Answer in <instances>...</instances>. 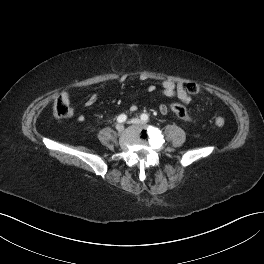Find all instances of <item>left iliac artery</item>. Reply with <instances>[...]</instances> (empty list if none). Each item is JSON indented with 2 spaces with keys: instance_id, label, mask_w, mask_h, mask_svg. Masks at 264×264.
I'll use <instances>...</instances> for the list:
<instances>
[{
  "instance_id": "44dca946",
  "label": "left iliac artery",
  "mask_w": 264,
  "mask_h": 264,
  "mask_svg": "<svg viewBox=\"0 0 264 264\" xmlns=\"http://www.w3.org/2000/svg\"><path fill=\"white\" fill-rule=\"evenodd\" d=\"M140 117L143 121H147L149 119V116L145 113H143Z\"/></svg>"
}]
</instances>
